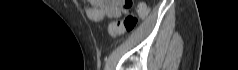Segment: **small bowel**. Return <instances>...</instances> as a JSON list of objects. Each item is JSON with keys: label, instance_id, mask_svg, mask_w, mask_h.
<instances>
[{"label": "small bowel", "instance_id": "1", "mask_svg": "<svg viewBox=\"0 0 238 70\" xmlns=\"http://www.w3.org/2000/svg\"><path fill=\"white\" fill-rule=\"evenodd\" d=\"M127 12L126 3L123 0H89L86 7V15L92 21H100L105 16L119 18Z\"/></svg>", "mask_w": 238, "mask_h": 70}]
</instances>
